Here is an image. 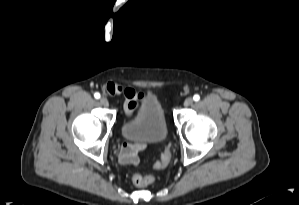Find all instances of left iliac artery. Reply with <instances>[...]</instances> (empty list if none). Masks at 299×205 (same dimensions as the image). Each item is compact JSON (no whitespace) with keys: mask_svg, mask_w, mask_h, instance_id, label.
Here are the masks:
<instances>
[{"mask_svg":"<svg viewBox=\"0 0 299 205\" xmlns=\"http://www.w3.org/2000/svg\"><path fill=\"white\" fill-rule=\"evenodd\" d=\"M193 99H194V101H199L200 96H199L198 94H195V95L193 96Z\"/></svg>","mask_w":299,"mask_h":205,"instance_id":"obj_1","label":"left iliac artery"}]
</instances>
